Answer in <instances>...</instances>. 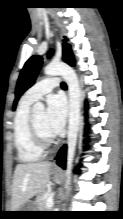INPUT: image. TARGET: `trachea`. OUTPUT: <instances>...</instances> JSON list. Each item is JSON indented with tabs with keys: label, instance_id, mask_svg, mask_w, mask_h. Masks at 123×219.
Listing matches in <instances>:
<instances>
[{
	"label": "trachea",
	"instance_id": "obj_1",
	"mask_svg": "<svg viewBox=\"0 0 123 219\" xmlns=\"http://www.w3.org/2000/svg\"><path fill=\"white\" fill-rule=\"evenodd\" d=\"M61 87L65 89V88L67 87L66 83H65V82H62V83H61Z\"/></svg>",
	"mask_w": 123,
	"mask_h": 219
}]
</instances>
